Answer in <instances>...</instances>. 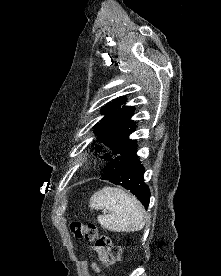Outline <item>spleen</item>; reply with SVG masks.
<instances>
[{
  "mask_svg": "<svg viewBox=\"0 0 221 276\" xmlns=\"http://www.w3.org/2000/svg\"><path fill=\"white\" fill-rule=\"evenodd\" d=\"M91 210L104 209L108 214L97 217L101 226L113 232H135L145 225L144 210L140 202L122 189L106 186L91 197Z\"/></svg>",
  "mask_w": 221,
  "mask_h": 276,
  "instance_id": "1",
  "label": "spleen"
}]
</instances>
